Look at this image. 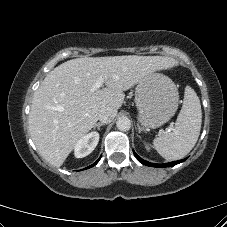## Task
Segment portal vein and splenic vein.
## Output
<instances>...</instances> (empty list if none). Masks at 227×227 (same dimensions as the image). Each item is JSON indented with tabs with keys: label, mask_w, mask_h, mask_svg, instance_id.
<instances>
[{
	"label": "portal vein and splenic vein",
	"mask_w": 227,
	"mask_h": 227,
	"mask_svg": "<svg viewBox=\"0 0 227 227\" xmlns=\"http://www.w3.org/2000/svg\"><path fill=\"white\" fill-rule=\"evenodd\" d=\"M102 84H103V80H102V79L98 80V81L95 83L93 89L95 90V89L100 88V87L102 86Z\"/></svg>",
	"instance_id": "obj_1"
}]
</instances>
